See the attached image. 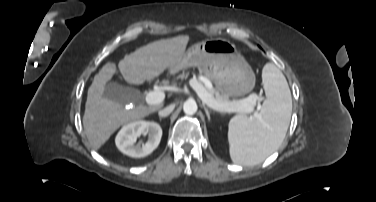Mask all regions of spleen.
Segmentation results:
<instances>
[{
  "instance_id": "obj_1",
  "label": "spleen",
  "mask_w": 376,
  "mask_h": 202,
  "mask_svg": "<svg viewBox=\"0 0 376 202\" xmlns=\"http://www.w3.org/2000/svg\"><path fill=\"white\" fill-rule=\"evenodd\" d=\"M262 81L266 99L259 116L237 115L229 122V151L236 164L265 160L281 145L290 123L292 98L285 76L273 63H267Z\"/></svg>"
}]
</instances>
